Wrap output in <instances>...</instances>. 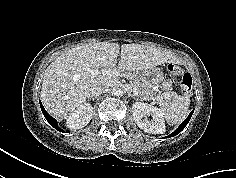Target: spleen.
I'll return each mask as SVG.
<instances>
[{"label": "spleen", "mask_w": 236, "mask_h": 178, "mask_svg": "<svg viewBox=\"0 0 236 178\" xmlns=\"http://www.w3.org/2000/svg\"><path fill=\"white\" fill-rule=\"evenodd\" d=\"M190 99L174 91L165 92L160 101V111L169 125L182 122L188 113Z\"/></svg>", "instance_id": "1"}]
</instances>
